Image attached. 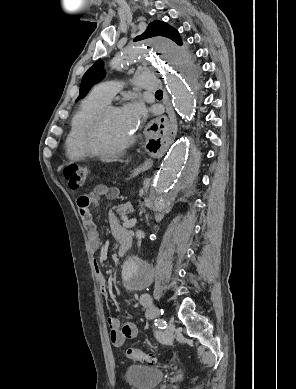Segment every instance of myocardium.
I'll use <instances>...</instances> for the list:
<instances>
[{
    "label": "myocardium",
    "instance_id": "1",
    "mask_svg": "<svg viewBox=\"0 0 296 389\" xmlns=\"http://www.w3.org/2000/svg\"><path fill=\"white\" fill-rule=\"evenodd\" d=\"M120 111V109L113 105H105L100 108L89 121L84 133L83 145L86 153L93 157H108L123 153L127 150L135 141V135L131 137L123 144L115 148H102L98 144V132L100 125L105 116L111 112Z\"/></svg>",
    "mask_w": 296,
    "mask_h": 389
}]
</instances>
